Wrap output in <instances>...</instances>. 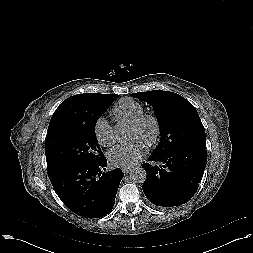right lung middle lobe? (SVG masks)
Segmentation results:
<instances>
[{
    "label": "right lung middle lobe",
    "mask_w": 253,
    "mask_h": 253,
    "mask_svg": "<svg viewBox=\"0 0 253 253\" xmlns=\"http://www.w3.org/2000/svg\"><path fill=\"white\" fill-rule=\"evenodd\" d=\"M112 102L95 107L81 118L62 119L49 125L45 139L48 174L104 157L95 135V124Z\"/></svg>",
    "instance_id": "right-lung-middle-lobe-1"
}]
</instances>
